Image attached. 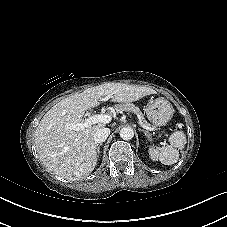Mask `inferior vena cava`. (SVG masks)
Listing matches in <instances>:
<instances>
[{
    "instance_id": "obj_1",
    "label": "inferior vena cava",
    "mask_w": 227,
    "mask_h": 227,
    "mask_svg": "<svg viewBox=\"0 0 227 227\" xmlns=\"http://www.w3.org/2000/svg\"><path fill=\"white\" fill-rule=\"evenodd\" d=\"M109 134H110L109 128H100L96 130V132L93 134V140L97 144L102 143L107 139Z\"/></svg>"
}]
</instances>
